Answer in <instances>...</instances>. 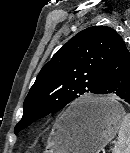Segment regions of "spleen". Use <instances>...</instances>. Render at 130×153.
I'll return each instance as SVG.
<instances>
[{
  "label": "spleen",
  "mask_w": 130,
  "mask_h": 153,
  "mask_svg": "<svg viewBox=\"0 0 130 153\" xmlns=\"http://www.w3.org/2000/svg\"><path fill=\"white\" fill-rule=\"evenodd\" d=\"M113 153H130V113L123 117Z\"/></svg>",
  "instance_id": "3e777b00"
}]
</instances>
